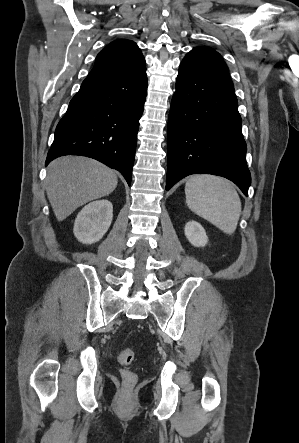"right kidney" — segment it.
Returning <instances> with one entry per match:
<instances>
[{
  "label": "right kidney",
  "instance_id": "ca27d5eb",
  "mask_svg": "<svg viewBox=\"0 0 299 443\" xmlns=\"http://www.w3.org/2000/svg\"><path fill=\"white\" fill-rule=\"evenodd\" d=\"M113 217V206L103 199L89 203L77 215L73 232L83 244L99 241L110 227Z\"/></svg>",
  "mask_w": 299,
  "mask_h": 443
}]
</instances>
